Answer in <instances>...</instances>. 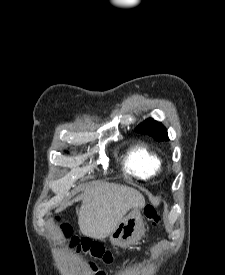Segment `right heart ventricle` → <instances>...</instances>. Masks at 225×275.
Wrapping results in <instances>:
<instances>
[{"mask_svg":"<svg viewBox=\"0 0 225 275\" xmlns=\"http://www.w3.org/2000/svg\"><path fill=\"white\" fill-rule=\"evenodd\" d=\"M161 165V159L143 144L130 148L124 158L126 170L142 179H149L156 175Z\"/></svg>","mask_w":225,"mask_h":275,"instance_id":"right-heart-ventricle-1","label":"right heart ventricle"}]
</instances>
